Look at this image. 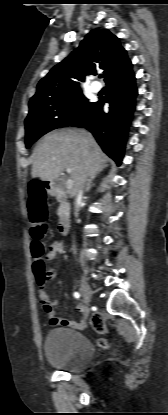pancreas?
<instances>
[{
    "label": "pancreas",
    "instance_id": "obj_1",
    "mask_svg": "<svg viewBox=\"0 0 168 415\" xmlns=\"http://www.w3.org/2000/svg\"><path fill=\"white\" fill-rule=\"evenodd\" d=\"M70 205L67 203L64 207L58 209V215L59 217H64L65 212H69Z\"/></svg>",
    "mask_w": 168,
    "mask_h": 415
}]
</instances>
